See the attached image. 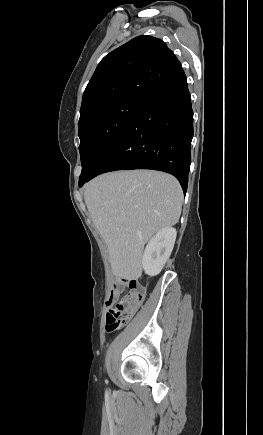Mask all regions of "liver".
<instances>
[{
  "mask_svg": "<svg viewBox=\"0 0 263 435\" xmlns=\"http://www.w3.org/2000/svg\"><path fill=\"white\" fill-rule=\"evenodd\" d=\"M84 200L107 246L113 275L136 280L142 274L144 245L178 222L183 192L178 180L163 172L118 171L90 181Z\"/></svg>",
  "mask_w": 263,
  "mask_h": 435,
  "instance_id": "6515ba94",
  "label": "liver"
}]
</instances>
